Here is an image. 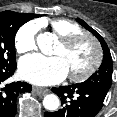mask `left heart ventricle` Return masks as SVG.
Returning a JSON list of instances; mask_svg holds the SVG:
<instances>
[{
    "mask_svg": "<svg viewBox=\"0 0 117 117\" xmlns=\"http://www.w3.org/2000/svg\"><path fill=\"white\" fill-rule=\"evenodd\" d=\"M54 55L64 61L68 73H80L92 63L94 59V49L92 43L84 39L71 48H65L60 43Z\"/></svg>",
    "mask_w": 117,
    "mask_h": 117,
    "instance_id": "left-heart-ventricle-1",
    "label": "left heart ventricle"
}]
</instances>
